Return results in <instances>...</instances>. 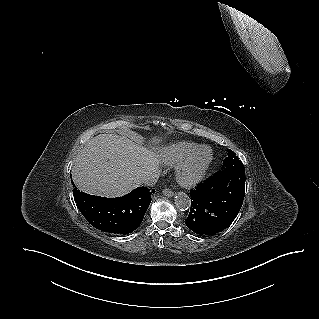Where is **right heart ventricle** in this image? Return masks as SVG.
<instances>
[{
	"instance_id": "right-heart-ventricle-1",
	"label": "right heart ventricle",
	"mask_w": 319,
	"mask_h": 319,
	"mask_svg": "<svg viewBox=\"0 0 319 319\" xmlns=\"http://www.w3.org/2000/svg\"><path fill=\"white\" fill-rule=\"evenodd\" d=\"M200 145L192 142H179L166 147L163 159L168 166H178L189 158Z\"/></svg>"
}]
</instances>
